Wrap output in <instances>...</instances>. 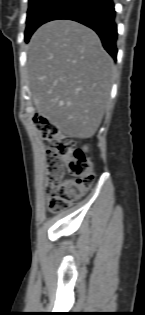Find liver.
Here are the masks:
<instances>
[{
  "label": "liver",
  "mask_w": 145,
  "mask_h": 315,
  "mask_svg": "<svg viewBox=\"0 0 145 315\" xmlns=\"http://www.w3.org/2000/svg\"><path fill=\"white\" fill-rule=\"evenodd\" d=\"M28 85L38 113L72 138H90L108 106L113 59L90 28L51 21L28 47Z\"/></svg>",
  "instance_id": "1"
}]
</instances>
